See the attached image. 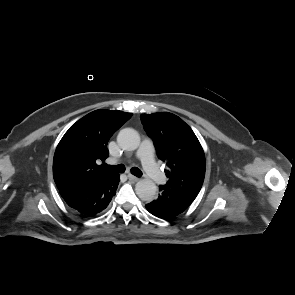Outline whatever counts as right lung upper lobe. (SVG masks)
Here are the masks:
<instances>
[{"label":"right lung upper lobe","mask_w":295,"mask_h":295,"mask_svg":"<svg viewBox=\"0 0 295 295\" xmlns=\"http://www.w3.org/2000/svg\"><path fill=\"white\" fill-rule=\"evenodd\" d=\"M131 116L132 113L101 109L70 127L53 159V177L59 191L87 187L115 173L99 163L109 155L110 137Z\"/></svg>","instance_id":"1"}]
</instances>
